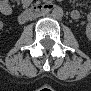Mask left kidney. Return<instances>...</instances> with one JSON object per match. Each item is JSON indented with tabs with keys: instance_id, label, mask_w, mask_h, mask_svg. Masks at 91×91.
Listing matches in <instances>:
<instances>
[{
	"instance_id": "1",
	"label": "left kidney",
	"mask_w": 91,
	"mask_h": 91,
	"mask_svg": "<svg viewBox=\"0 0 91 91\" xmlns=\"http://www.w3.org/2000/svg\"><path fill=\"white\" fill-rule=\"evenodd\" d=\"M86 35L88 38L91 37V28L89 26H87V28H86Z\"/></svg>"
}]
</instances>
